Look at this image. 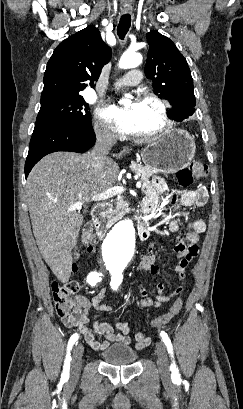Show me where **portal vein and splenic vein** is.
<instances>
[{
    "label": "portal vein and splenic vein",
    "mask_w": 243,
    "mask_h": 409,
    "mask_svg": "<svg viewBox=\"0 0 243 409\" xmlns=\"http://www.w3.org/2000/svg\"><path fill=\"white\" fill-rule=\"evenodd\" d=\"M136 187H137V188H140V187H141V181H137V182H136ZM124 191H125V188H124L123 186H114V187H111V188L107 189L106 191H104V192H102V193H100V194L95 195V196L92 198V200H93V201L106 200V199H108V198H110V197H112V196H114V195L121 194V193H123ZM82 206H83V202H82V201H78L77 203L71 205V206L68 208V210H69V211L81 210Z\"/></svg>",
    "instance_id": "portal-vein-and-splenic-vein-1"
}]
</instances>
